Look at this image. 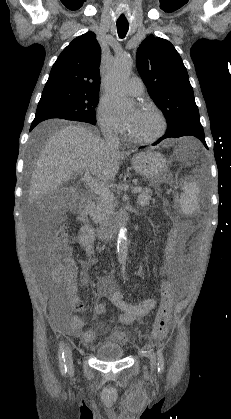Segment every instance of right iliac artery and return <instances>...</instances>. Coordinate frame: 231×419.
I'll use <instances>...</instances> for the list:
<instances>
[{"label":"right iliac artery","mask_w":231,"mask_h":419,"mask_svg":"<svg viewBox=\"0 0 231 419\" xmlns=\"http://www.w3.org/2000/svg\"><path fill=\"white\" fill-rule=\"evenodd\" d=\"M64 354H65V352H64V342H61L60 345H59L58 356H59L60 371H61L62 375L66 374V372H67V367H66V364H65Z\"/></svg>","instance_id":"obj_1"}]
</instances>
